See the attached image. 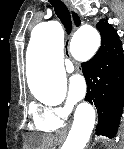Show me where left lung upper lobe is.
I'll return each instance as SVG.
<instances>
[{"instance_id":"5c2ea615","label":"left lung upper lobe","mask_w":124,"mask_h":149,"mask_svg":"<svg viewBox=\"0 0 124 149\" xmlns=\"http://www.w3.org/2000/svg\"><path fill=\"white\" fill-rule=\"evenodd\" d=\"M97 29L99 30L101 36L117 34L115 29L110 24H108V22H105L104 20L99 21V23L97 24Z\"/></svg>"}]
</instances>
